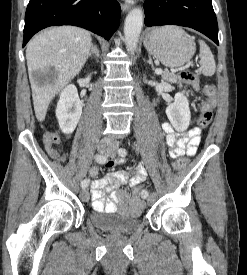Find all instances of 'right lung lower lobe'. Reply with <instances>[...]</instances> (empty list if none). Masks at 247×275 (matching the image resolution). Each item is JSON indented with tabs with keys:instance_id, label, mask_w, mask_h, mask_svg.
<instances>
[{
	"instance_id": "98d812e1",
	"label": "right lung lower lobe",
	"mask_w": 247,
	"mask_h": 275,
	"mask_svg": "<svg viewBox=\"0 0 247 275\" xmlns=\"http://www.w3.org/2000/svg\"><path fill=\"white\" fill-rule=\"evenodd\" d=\"M120 23L116 0H30L25 14L23 47L49 26L74 25L109 40Z\"/></svg>"
}]
</instances>
